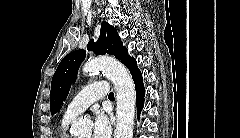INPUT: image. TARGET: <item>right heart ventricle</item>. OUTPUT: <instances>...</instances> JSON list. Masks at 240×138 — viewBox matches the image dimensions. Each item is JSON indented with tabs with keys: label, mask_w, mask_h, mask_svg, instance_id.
<instances>
[{
	"label": "right heart ventricle",
	"mask_w": 240,
	"mask_h": 138,
	"mask_svg": "<svg viewBox=\"0 0 240 138\" xmlns=\"http://www.w3.org/2000/svg\"><path fill=\"white\" fill-rule=\"evenodd\" d=\"M74 117L64 116L58 130V138H74L68 131L69 124Z\"/></svg>",
	"instance_id": "e07e8e85"
}]
</instances>
